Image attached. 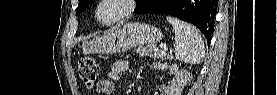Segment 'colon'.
I'll return each mask as SVG.
<instances>
[{"instance_id":"5ec220e1","label":"colon","mask_w":277,"mask_h":95,"mask_svg":"<svg viewBox=\"0 0 277 95\" xmlns=\"http://www.w3.org/2000/svg\"><path fill=\"white\" fill-rule=\"evenodd\" d=\"M77 72L88 88H92L97 80L99 65L94 58H82L77 64Z\"/></svg>"}]
</instances>
